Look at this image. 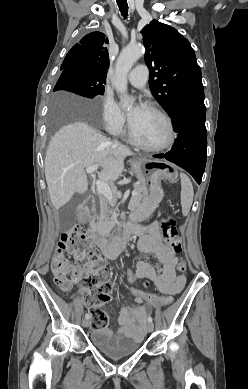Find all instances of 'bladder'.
Returning a JSON list of instances; mask_svg holds the SVG:
<instances>
[{
	"mask_svg": "<svg viewBox=\"0 0 248 389\" xmlns=\"http://www.w3.org/2000/svg\"><path fill=\"white\" fill-rule=\"evenodd\" d=\"M92 344L101 354L112 359L127 357L140 350V344L135 340L121 334H107L104 331L93 333Z\"/></svg>",
	"mask_w": 248,
	"mask_h": 389,
	"instance_id": "31cf9c89",
	"label": "bladder"
}]
</instances>
